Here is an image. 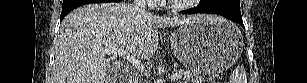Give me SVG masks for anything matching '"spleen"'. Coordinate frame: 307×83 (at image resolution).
I'll use <instances>...</instances> for the list:
<instances>
[{
	"instance_id": "3e777b00",
	"label": "spleen",
	"mask_w": 307,
	"mask_h": 83,
	"mask_svg": "<svg viewBox=\"0 0 307 83\" xmlns=\"http://www.w3.org/2000/svg\"><path fill=\"white\" fill-rule=\"evenodd\" d=\"M230 83H247V77L243 66H237L231 73Z\"/></svg>"
}]
</instances>
